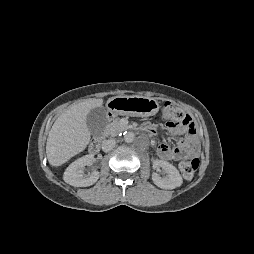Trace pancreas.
<instances>
[{"instance_id": "obj_1", "label": "pancreas", "mask_w": 254, "mask_h": 254, "mask_svg": "<svg viewBox=\"0 0 254 254\" xmlns=\"http://www.w3.org/2000/svg\"><path fill=\"white\" fill-rule=\"evenodd\" d=\"M125 130V127L122 125L121 120L116 118L109 124V134L116 135Z\"/></svg>"}]
</instances>
